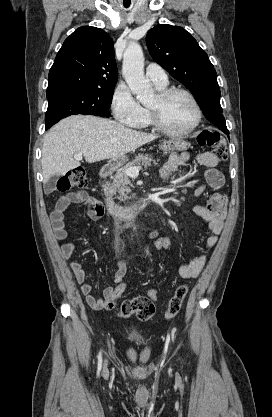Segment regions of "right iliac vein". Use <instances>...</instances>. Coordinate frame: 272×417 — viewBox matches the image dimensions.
Returning a JSON list of instances; mask_svg holds the SVG:
<instances>
[{
	"instance_id": "63e3f726",
	"label": "right iliac vein",
	"mask_w": 272,
	"mask_h": 417,
	"mask_svg": "<svg viewBox=\"0 0 272 417\" xmlns=\"http://www.w3.org/2000/svg\"><path fill=\"white\" fill-rule=\"evenodd\" d=\"M107 370V368H106V363H105V365H104V372Z\"/></svg>"
}]
</instances>
